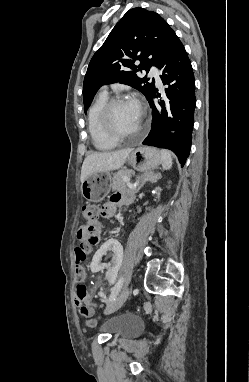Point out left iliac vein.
I'll return each instance as SVG.
<instances>
[{"label":"left iliac vein","mask_w":249,"mask_h":382,"mask_svg":"<svg viewBox=\"0 0 249 382\" xmlns=\"http://www.w3.org/2000/svg\"><path fill=\"white\" fill-rule=\"evenodd\" d=\"M131 293L130 288H125L123 291L119 294V296L110 304L105 309V314H111L118 309H120L123 304L126 302L127 298L129 297Z\"/></svg>","instance_id":"obj_1"}]
</instances>
